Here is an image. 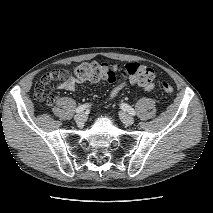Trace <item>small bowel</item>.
<instances>
[{"label": "small bowel", "instance_id": "c3829d8e", "mask_svg": "<svg viewBox=\"0 0 213 213\" xmlns=\"http://www.w3.org/2000/svg\"><path fill=\"white\" fill-rule=\"evenodd\" d=\"M60 82H58L56 85H55V88L56 89H60V90H65V91H74L76 89V85H77V82H76V79L71 77V76H64L62 78H60ZM115 88V87H114ZM113 88V89H114ZM121 90L123 88V85L120 87ZM154 87H151V88H146V90L150 91L152 90Z\"/></svg>", "mask_w": 213, "mask_h": 213}]
</instances>
